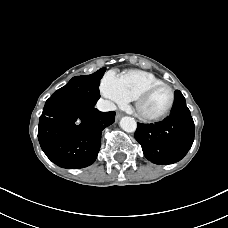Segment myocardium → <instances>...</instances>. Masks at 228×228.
<instances>
[{"label": "myocardium", "mask_w": 228, "mask_h": 228, "mask_svg": "<svg viewBox=\"0 0 228 228\" xmlns=\"http://www.w3.org/2000/svg\"><path fill=\"white\" fill-rule=\"evenodd\" d=\"M159 87H166L170 91L171 99H170V102H169V105L167 106V108L162 113H160L158 115H154V116H148V115L141 113L140 108H139L141 102L148 96V94L150 92H152L154 89L159 88ZM133 100H134L135 112L141 120H143L145 122H157V121H160V120L164 119L165 117H167L168 114L171 112V110L174 106V103H175V91L167 83H164V82L153 83V84H150V85L146 86L145 88H143L134 97Z\"/></svg>", "instance_id": "myocardium-1"}]
</instances>
